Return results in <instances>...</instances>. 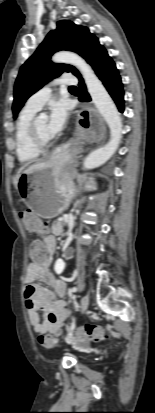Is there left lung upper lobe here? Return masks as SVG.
I'll return each mask as SVG.
<instances>
[{
    "label": "left lung upper lobe",
    "instance_id": "obj_1",
    "mask_svg": "<svg viewBox=\"0 0 155 413\" xmlns=\"http://www.w3.org/2000/svg\"><path fill=\"white\" fill-rule=\"evenodd\" d=\"M103 48L88 28L68 20L57 22V29L49 32L35 53L20 68L14 87L13 117H17L32 94L61 73L72 72L77 77L81 76L71 65L52 63L50 57L53 53L59 50L74 51L91 64Z\"/></svg>",
    "mask_w": 155,
    "mask_h": 413
}]
</instances>
